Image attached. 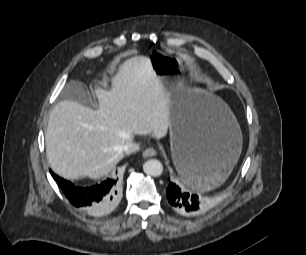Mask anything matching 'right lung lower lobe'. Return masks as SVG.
<instances>
[{"label":"right lung lower lobe","mask_w":306,"mask_h":255,"mask_svg":"<svg viewBox=\"0 0 306 255\" xmlns=\"http://www.w3.org/2000/svg\"><path fill=\"white\" fill-rule=\"evenodd\" d=\"M51 173L70 203L89 215H104L118 203L120 194L118 178L107 179L99 185L82 188Z\"/></svg>","instance_id":"98d812e1"}]
</instances>
